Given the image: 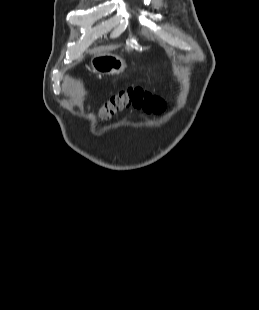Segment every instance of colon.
Here are the masks:
<instances>
[{
    "label": "colon",
    "instance_id": "obj_1",
    "mask_svg": "<svg viewBox=\"0 0 259 310\" xmlns=\"http://www.w3.org/2000/svg\"><path fill=\"white\" fill-rule=\"evenodd\" d=\"M164 101L157 95L142 89L133 88L120 91L108 99L98 111L100 120H108L115 113L128 108L136 107L144 110L158 111L164 107Z\"/></svg>",
    "mask_w": 259,
    "mask_h": 310
}]
</instances>
